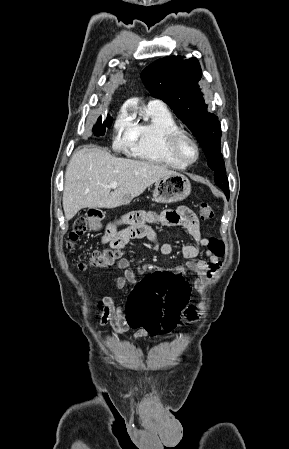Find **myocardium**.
I'll return each instance as SVG.
<instances>
[{"instance_id":"1","label":"myocardium","mask_w":289,"mask_h":449,"mask_svg":"<svg viewBox=\"0 0 289 449\" xmlns=\"http://www.w3.org/2000/svg\"><path fill=\"white\" fill-rule=\"evenodd\" d=\"M184 142L189 143L194 149V156L192 158H187L182 152V144ZM167 147L170 154L179 162L185 165H191L195 163L200 156V148L196 140L186 131L178 129L171 132L167 137Z\"/></svg>"}]
</instances>
